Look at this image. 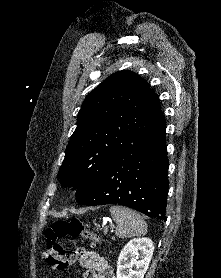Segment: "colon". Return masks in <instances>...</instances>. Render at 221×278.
<instances>
[{
    "instance_id": "5ec220e1",
    "label": "colon",
    "mask_w": 221,
    "mask_h": 278,
    "mask_svg": "<svg viewBox=\"0 0 221 278\" xmlns=\"http://www.w3.org/2000/svg\"><path fill=\"white\" fill-rule=\"evenodd\" d=\"M65 237L83 238L93 244L99 242L98 235L88 230L78 218L55 221L45 232V258L46 262L57 270H72L77 256V251L57 242Z\"/></svg>"
}]
</instances>
